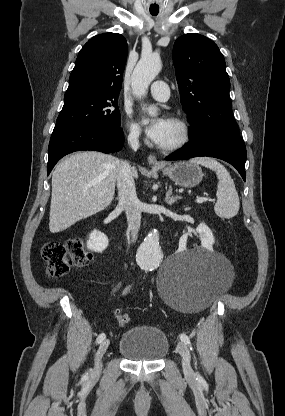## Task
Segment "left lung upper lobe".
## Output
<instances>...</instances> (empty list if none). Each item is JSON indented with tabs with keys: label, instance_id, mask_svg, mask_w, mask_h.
I'll list each match as a JSON object with an SVG mask.
<instances>
[{
	"label": "left lung upper lobe",
	"instance_id": "obj_1",
	"mask_svg": "<svg viewBox=\"0 0 285 416\" xmlns=\"http://www.w3.org/2000/svg\"><path fill=\"white\" fill-rule=\"evenodd\" d=\"M173 62L180 101L191 124L190 138L219 125L236 124L225 59L213 41L197 33L179 37Z\"/></svg>",
	"mask_w": 285,
	"mask_h": 416
}]
</instances>
